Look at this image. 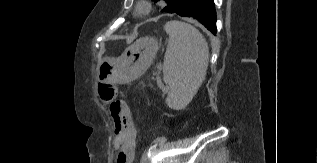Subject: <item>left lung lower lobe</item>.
<instances>
[{
  "label": "left lung lower lobe",
  "mask_w": 317,
  "mask_h": 163,
  "mask_svg": "<svg viewBox=\"0 0 317 163\" xmlns=\"http://www.w3.org/2000/svg\"><path fill=\"white\" fill-rule=\"evenodd\" d=\"M182 17H193L200 21L214 35L216 28V12L213 0H182L173 12Z\"/></svg>",
  "instance_id": "0a47b994"
}]
</instances>
